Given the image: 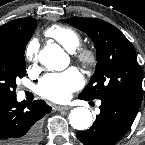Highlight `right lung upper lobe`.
I'll list each match as a JSON object with an SVG mask.
<instances>
[{
	"instance_id": "obj_1",
	"label": "right lung upper lobe",
	"mask_w": 145,
	"mask_h": 145,
	"mask_svg": "<svg viewBox=\"0 0 145 145\" xmlns=\"http://www.w3.org/2000/svg\"><path fill=\"white\" fill-rule=\"evenodd\" d=\"M34 18H20L10 21L0 27V42H7L19 38L32 29Z\"/></svg>"
}]
</instances>
